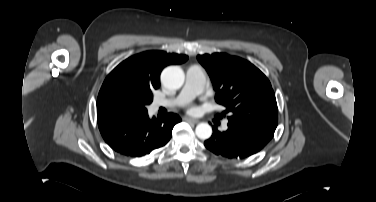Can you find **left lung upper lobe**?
<instances>
[{
	"instance_id": "1",
	"label": "left lung upper lobe",
	"mask_w": 376,
	"mask_h": 202,
	"mask_svg": "<svg viewBox=\"0 0 376 202\" xmlns=\"http://www.w3.org/2000/svg\"><path fill=\"white\" fill-rule=\"evenodd\" d=\"M216 91L215 100L229 113L228 119L276 129L278 109L267 77L253 64L223 53L198 55Z\"/></svg>"
}]
</instances>
